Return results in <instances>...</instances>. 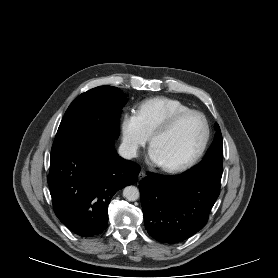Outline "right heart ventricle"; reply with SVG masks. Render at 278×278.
<instances>
[{
  "label": "right heart ventricle",
  "mask_w": 278,
  "mask_h": 278,
  "mask_svg": "<svg viewBox=\"0 0 278 278\" xmlns=\"http://www.w3.org/2000/svg\"><path fill=\"white\" fill-rule=\"evenodd\" d=\"M189 109V106L178 99L158 96L140 102L136 113L147 132L151 134L158 126L176 113Z\"/></svg>",
  "instance_id": "1"
}]
</instances>
